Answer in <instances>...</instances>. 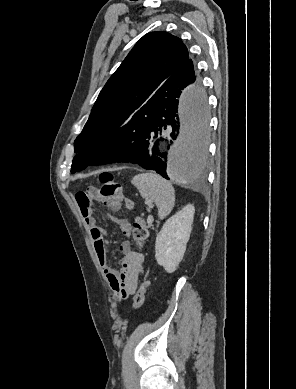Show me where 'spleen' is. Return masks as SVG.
<instances>
[{"instance_id":"1","label":"spleen","mask_w":296,"mask_h":389,"mask_svg":"<svg viewBox=\"0 0 296 389\" xmlns=\"http://www.w3.org/2000/svg\"><path fill=\"white\" fill-rule=\"evenodd\" d=\"M131 183L144 199L156 204L160 219L171 213L175 204V190L170 182L155 173H142L135 175Z\"/></svg>"}]
</instances>
